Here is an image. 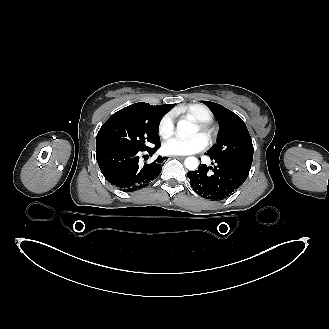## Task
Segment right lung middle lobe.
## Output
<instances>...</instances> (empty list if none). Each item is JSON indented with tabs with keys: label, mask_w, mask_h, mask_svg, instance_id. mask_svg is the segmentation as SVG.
Here are the masks:
<instances>
[{
	"label": "right lung middle lobe",
	"mask_w": 329,
	"mask_h": 329,
	"mask_svg": "<svg viewBox=\"0 0 329 329\" xmlns=\"http://www.w3.org/2000/svg\"><path fill=\"white\" fill-rule=\"evenodd\" d=\"M167 109L148 105L141 113L104 123L100 128L96 147H119L145 150L160 143L158 128Z\"/></svg>",
	"instance_id": "1"
}]
</instances>
